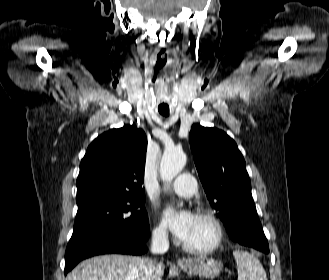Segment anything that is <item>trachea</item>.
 I'll return each mask as SVG.
<instances>
[{
	"instance_id": "obj_1",
	"label": "trachea",
	"mask_w": 329,
	"mask_h": 280,
	"mask_svg": "<svg viewBox=\"0 0 329 280\" xmlns=\"http://www.w3.org/2000/svg\"><path fill=\"white\" fill-rule=\"evenodd\" d=\"M162 116H165V117H167L168 116V114H161Z\"/></svg>"
}]
</instances>
